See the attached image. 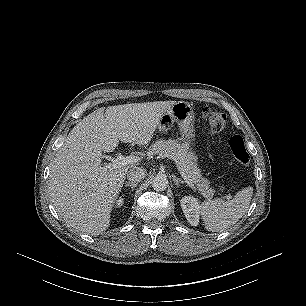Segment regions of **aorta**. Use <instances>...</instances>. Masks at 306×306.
Wrapping results in <instances>:
<instances>
[{
	"label": "aorta",
	"mask_w": 306,
	"mask_h": 306,
	"mask_svg": "<svg viewBox=\"0 0 306 306\" xmlns=\"http://www.w3.org/2000/svg\"><path fill=\"white\" fill-rule=\"evenodd\" d=\"M168 186V179L166 175L159 174L153 178L152 187L156 191H164Z\"/></svg>",
	"instance_id": "aorta-1"
}]
</instances>
